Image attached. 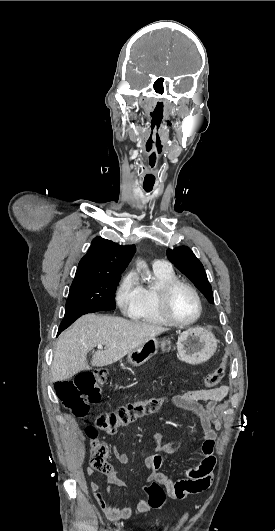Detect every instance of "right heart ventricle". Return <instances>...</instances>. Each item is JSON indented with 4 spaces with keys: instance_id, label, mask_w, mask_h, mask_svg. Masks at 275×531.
<instances>
[{
    "instance_id": "1",
    "label": "right heart ventricle",
    "mask_w": 275,
    "mask_h": 531,
    "mask_svg": "<svg viewBox=\"0 0 275 531\" xmlns=\"http://www.w3.org/2000/svg\"><path fill=\"white\" fill-rule=\"evenodd\" d=\"M156 283L151 286H142L141 304L132 316L133 319L152 325H170L163 317L158 306V287L170 280L176 279L171 270H155Z\"/></svg>"
}]
</instances>
